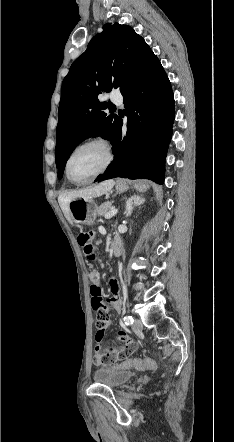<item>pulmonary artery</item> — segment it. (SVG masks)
<instances>
[{
	"label": "pulmonary artery",
	"instance_id": "pulmonary-artery-1",
	"mask_svg": "<svg viewBox=\"0 0 234 442\" xmlns=\"http://www.w3.org/2000/svg\"><path fill=\"white\" fill-rule=\"evenodd\" d=\"M111 101L115 104H121L122 103V97L120 95H114L111 97Z\"/></svg>",
	"mask_w": 234,
	"mask_h": 442
}]
</instances>
